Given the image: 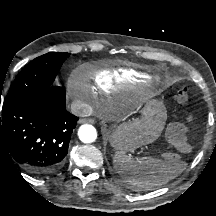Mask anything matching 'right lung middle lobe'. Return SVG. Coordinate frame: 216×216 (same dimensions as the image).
I'll list each match as a JSON object with an SVG mask.
<instances>
[{
	"instance_id": "obj_1",
	"label": "right lung middle lobe",
	"mask_w": 216,
	"mask_h": 216,
	"mask_svg": "<svg viewBox=\"0 0 216 216\" xmlns=\"http://www.w3.org/2000/svg\"><path fill=\"white\" fill-rule=\"evenodd\" d=\"M69 55L70 53L50 52L35 58L27 64L15 78L4 99L3 107L52 86L62 63Z\"/></svg>"
}]
</instances>
